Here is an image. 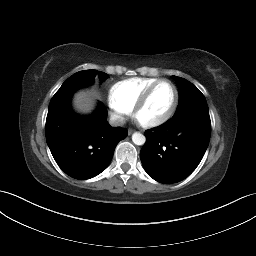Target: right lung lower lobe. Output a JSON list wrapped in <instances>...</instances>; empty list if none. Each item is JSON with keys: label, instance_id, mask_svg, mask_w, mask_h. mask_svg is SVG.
Here are the masks:
<instances>
[{"label": "right lung lower lobe", "instance_id": "right-lung-lower-lobe-1", "mask_svg": "<svg viewBox=\"0 0 256 256\" xmlns=\"http://www.w3.org/2000/svg\"><path fill=\"white\" fill-rule=\"evenodd\" d=\"M106 107L99 103L90 116H78L70 108V98L49 104L45 134L59 167L70 177L86 180L100 174L111 161L116 145L127 130L111 127Z\"/></svg>", "mask_w": 256, "mask_h": 256}]
</instances>
